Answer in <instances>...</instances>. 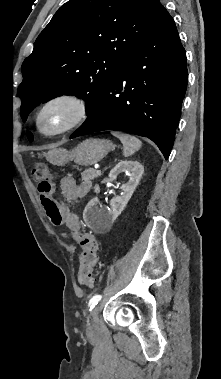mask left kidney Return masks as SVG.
Returning a JSON list of instances; mask_svg holds the SVG:
<instances>
[{
	"label": "left kidney",
	"instance_id": "obj_1",
	"mask_svg": "<svg viewBox=\"0 0 221 379\" xmlns=\"http://www.w3.org/2000/svg\"><path fill=\"white\" fill-rule=\"evenodd\" d=\"M122 172H129V181L121 186L120 196L111 199L110 208L99 209L97 200H91L84 209L83 219L85 223L94 230L110 227L117 217L122 213L128 201L132 197L144 172L143 166L137 161L125 160L119 162L109 173L111 180H116Z\"/></svg>",
	"mask_w": 221,
	"mask_h": 379
}]
</instances>
